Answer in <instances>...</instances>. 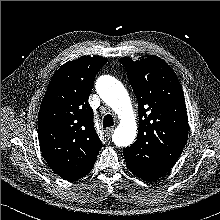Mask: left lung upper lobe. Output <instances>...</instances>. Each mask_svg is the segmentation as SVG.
Instances as JSON below:
<instances>
[{"label": "left lung upper lobe", "instance_id": "5c2ea615", "mask_svg": "<svg viewBox=\"0 0 220 220\" xmlns=\"http://www.w3.org/2000/svg\"><path fill=\"white\" fill-rule=\"evenodd\" d=\"M138 99L137 140L129 157L141 166L170 170L187 142L188 117L182 87L173 69L161 58L120 59Z\"/></svg>", "mask_w": 220, "mask_h": 220}]
</instances>
